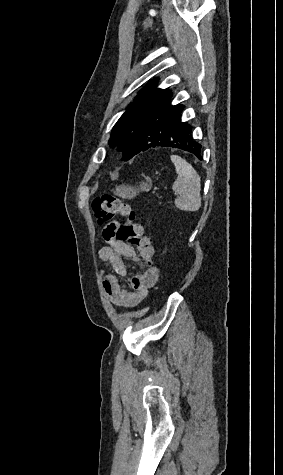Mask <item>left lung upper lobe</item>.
Segmentation results:
<instances>
[{
    "label": "left lung upper lobe",
    "mask_w": 283,
    "mask_h": 475,
    "mask_svg": "<svg viewBox=\"0 0 283 475\" xmlns=\"http://www.w3.org/2000/svg\"><path fill=\"white\" fill-rule=\"evenodd\" d=\"M157 80L151 81L134 99V102L126 108V111L112 129L109 139L110 145L114 146L123 134L135 136L140 134L153 108L171 93L169 90L156 88Z\"/></svg>",
    "instance_id": "left-lung-upper-lobe-1"
}]
</instances>
